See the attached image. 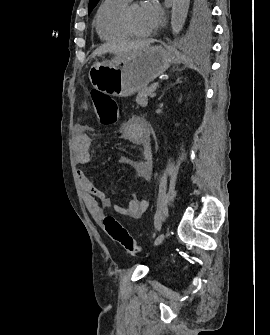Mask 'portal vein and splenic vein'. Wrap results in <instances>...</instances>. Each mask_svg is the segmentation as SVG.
Instances as JSON below:
<instances>
[{
  "label": "portal vein and splenic vein",
  "instance_id": "obj_1",
  "mask_svg": "<svg viewBox=\"0 0 270 335\" xmlns=\"http://www.w3.org/2000/svg\"><path fill=\"white\" fill-rule=\"evenodd\" d=\"M156 95H157V94H156V93H154V92H153V93H151V95H150V99H151V98L153 99V98H154Z\"/></svg>",
  "mask_w": 270,
  "mask_h": 335
}]
</instances>
